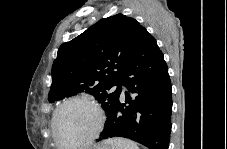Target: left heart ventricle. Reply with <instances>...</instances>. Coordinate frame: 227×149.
Segmentation results:
<instances>
[{"instance_id":"b2bd125f","label":"left heart ventricle","mask_w":227,"mask_h":149,"mask_svg":"<svg viewBox=\"0 0 227 149\" xmlns=\"http://www.w3.org/2000/svg\"><path fill=\"white\" fill-rule=\"evenodd\" d=\"M97 123L94 110L82 103L65 106L57 117V134L61 143L71 144L88 137Z\"/></svg>"}]
</instances>
